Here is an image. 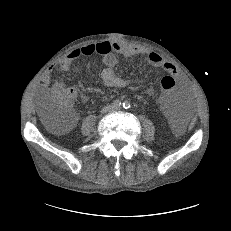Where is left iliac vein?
Instances as JSON below:
<instances>
[{
	"instance_id": "obj_1",
	"label": "left iliac vein",
	"mask_w": 231,
	"mask_h": 231,
	"mask_svg": "<svg viewBox=\"0 0 231 231\" xmlns=\"http://www.w3.org/2000/svg\"><path fill=\"white\" fill-rule=\"evenodd\" d=\"M120 108L119 107H113V111H118Z\"/></svg>"
}]
</instances>
